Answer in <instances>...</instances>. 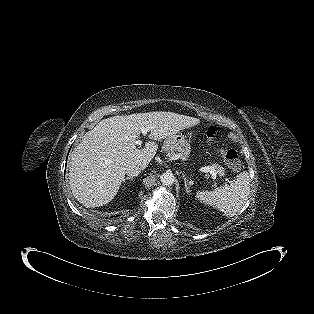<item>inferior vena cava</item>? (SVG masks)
<instances>
[{"label": "inferior vena cava", "mask_w": 314, "mask_h": 314, "mask_svg": "<svg viewBox=\"0 0 314 314\" xmlns=\"http://www.w3.org/2000/svg\"><path fill=\"white\" fill-rule=\"evenodd\" d=\"M144 168L145 167L141 164L133 163L126 167L125 173L130 177H135L139 175Z\"/></svg>", "instance_id": "inferior-vena-cava-1"}]
</instances>
